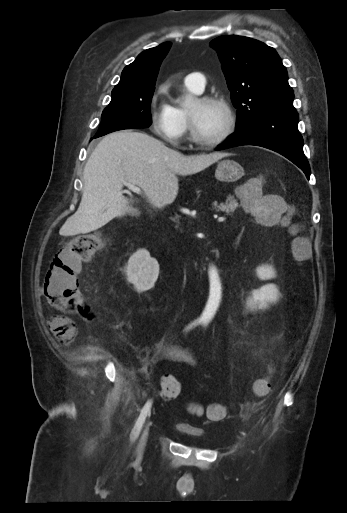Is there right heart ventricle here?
I'll use <instances>...</instances> for the list:
<instances>
[{"label":"right heart ventricle","instance_id":"obj_1","mask_svg":"<svg viewBox=\"0 0 347 513\" xmlns=\"http://www.w3.org/2000/svg\"><path fill=\"white\" fill-rule=\"evenodd\" d=\"M186 88L193 92V93H197L192 87H190L189 85L185 84ZM171 108L172 110L177 113L182 119L186 120L187 121V124H188V118H187V111L184 107L180 106L179 104H174V105H171Z\"/></svg>","mask_w":347,"mask_h":513}]
</instances>
